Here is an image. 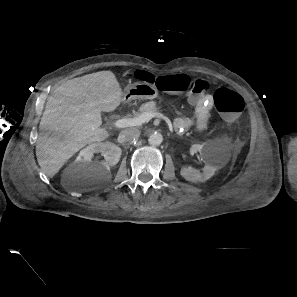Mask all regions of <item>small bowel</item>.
<instances>
[{"label":"small bowel","mask_w":297,"mask_h":297,"mask_svg":"<svg viewBox=\"0 0 297 297\" xmlns=\"http://www.w3.org/2000/svg\"><path fill=\"white\" fill-rule=\"evenodd\" d=\"M191 103L195 106V116L193 118H177L174 126L178 131L194 129L195 131H204L210 122V112L213 107V98L211 95H205L200 98L192 99Z\"/></svg>","instance_id":"c3829d8e"}]
</instances>
